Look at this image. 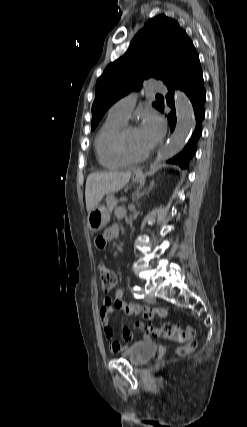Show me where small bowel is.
Masks as SVG:
<instances>
[{"label":"small bowel","instance_id":"1","mask_svg":"<svg viewBox=\"0 0 247 427\" xmlns=\"http://www.w3.org/2000/svg\"><path fill=\"white\" fill-rule=\"evenodd\" d=\"M121 213V211L117 212L118 215H120ZM118 233L119 229L117 226H112L108 228L102 235L96 238V246L100 249L104 248L107 241L117 238ZM113 308L117 309L120 313H124L127 315L142 314L146 319H152L156 315L160 317H165L168 314L165 308L150 309L147 306H141L135 303H128L124 301L123 292L121 290H117L113 300L110 298H105L103 306L100 309V318L104 335L109 341V346L112 352H121L125 349V345H123L117 340H114L113 338L114 332L109 324L110 316L113 313ZM122 336L125 342H129L132 339V330L129 325H125L123 327ZM148 338L149 336L146 335L145 339Z\"/></svg>","mask_w":247,"mask_h":427}]
</instances>
